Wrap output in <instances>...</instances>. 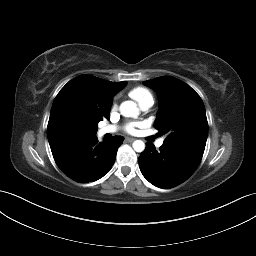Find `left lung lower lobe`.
Returning <instances> with one entry per match:
<instances>
[{
  "mask_svg": "<svg viewBox=\"0 0 256 256\" xmlns=\"http://www.w3.org/2000/svg\"><path fill=\"white\" fill-rule=\"evenodd\" d=\"M200 162L163 145L159 151L147 142L140 154L139 167L143 176L154 186L169 189L187 180Z\"/></svg>",
  "mask_w": 256,
  "mask_h": 256,
  "instance_id": "1",
  "label": "left lung lower lobe"
}]
</instances>
